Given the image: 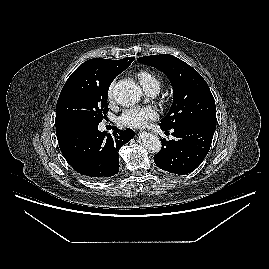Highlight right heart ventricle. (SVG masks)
I'll return each mask as SVG.
<instances>
[{
    "mask_svg": "<svg viewBox=\"0 0 269 269\" xmlns=\"http://www.w3.org/2000/svg\"><path fill=\"white\" fill-rule=\"evenodd\" d=\"M137 76L143 88L151 86V85L160 86V81L158 77L149 70H141L138 72Z\"/></svg>",
    "mask_w": 269,
    "mask_h": 269,
    "instance_id": "1",
    "label": "right heart ventricle"
}]
</instances>
